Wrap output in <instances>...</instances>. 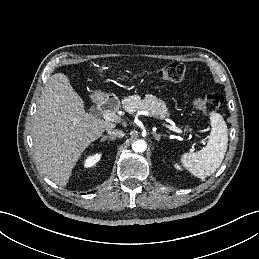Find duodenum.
Instances as JSON below:
<instances>
[{
  "label": "duodenum",
  "instance_id": "duodenum-1",
  "mask_svg": "<svg viewBox=\"0 0 259 259\" xmlns=\"http://www.w3.org/2000/svg\"><path fill=\"white\" fill-rule=\"evenodd\" d=\"M118 106V100L114 96H108L105 98H102L98 102V107L100 110L103 111H114L116 107Z\"/></svg>",
  "mask_w": 259,
  "mask_h": 259
}]
</instances>
